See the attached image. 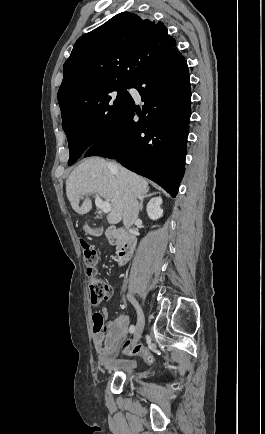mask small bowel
I'll list each match as a JSON object with an SVG mask.
<instances>
[{
    "instance_id": "1",
    "label": "small bowel",
    "mask_w": 265,
    "mask_h": 434,
    "mask_svg": "<svg viewBox=\"0 0 265 434\" xmlns=\"http://www.w3.org/2000/svg\"><path fill=\"white\" fill-rule=\"evenodd\" d=\"M101 312L105 317L108 315L106 309H103ZM128 324V317L126 315H119L109 320L102 331L93 334L92 341L98 355L97 362L100 365L112 363L110 356L115 355V349L127 336Z\"/></svg>"
}]
</instances>
